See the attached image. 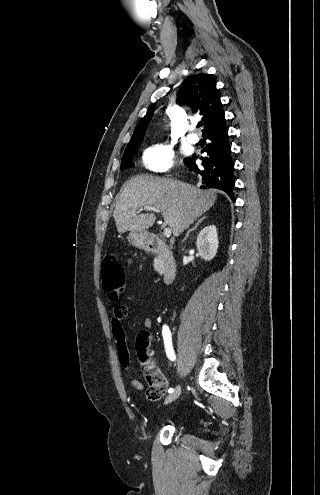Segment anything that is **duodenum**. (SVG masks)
<instances>
[{
  "mask_svg": "<svg viewBox=\"0 0 320 495\" xmlns=\"http://www.w3.org/2000/svg\"><path fill=\"white\" fill-rule=\"evenodd\" d=\"M145 248L157 254L161 260L162 276L165 283H171L177 272V265L168 245L157 235L149 236L145 241Z\"/></svg>",
  "mask_w": 320,
  "mask_h": 495,
  "instance_id": "obj_1",
  "label": "duodenum"
}]
</instances>
